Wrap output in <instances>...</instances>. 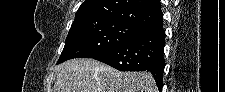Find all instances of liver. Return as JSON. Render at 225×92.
Listing matches in <instances>:
<instances>
[{"label": "liver", "instance_id": "1", "mask_svg": "<svg viewBox=\"0 0 225 92\" xmlns=\"http://www.w3.org/2000/svg\"><path fill=\"white\" fill-rule=\"evenodd\" d=\"M55 92H157L149 72H120L93 59H72L56 67Z\"/></svg>", "mask_w": 225, "mask_h": 92}]
</instances>
